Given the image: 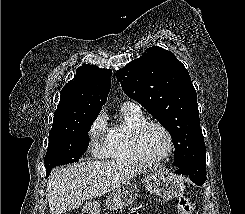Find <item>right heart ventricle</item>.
<instances>
[{
  "label": "right heart ventricle",
  "instance_id": "right-heart-ventricle-1",
  "mask_svg": "<svg viewBox=\"0 0 245 214\" xmlns=\"http://www.w3.org/2000/svg\"><path fill=\"white\" fill-rule=\"evenodd\" d=\"M144 121L146 119L139 105L124 102L120 107V120L109 127L106 156L118 162L138 163L131 148L130 133Z\"/></svg>",
  "mask_w": 245,
  "mask_h": 214
}]
</instances>
